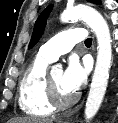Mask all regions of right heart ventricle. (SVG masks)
<instances>
[{
    "label": "right heart ventricle",
    "mask_w": 118,
    "mask_h": 123,
    "mask_svg": "<svg viewBox=\"0 0 118 123\" xmlns=\"http://www.w3.org/2000/svg\"><path fill=\"white\" fill-rule=\"evenodd\" d=\"M51 61L40 54L25 70L19 84L18 104L27 115L47 117L54 112L46 94L47 66Z\"/></svg>",
    "instance_id": "e07e8e85"
}]
</instances>
